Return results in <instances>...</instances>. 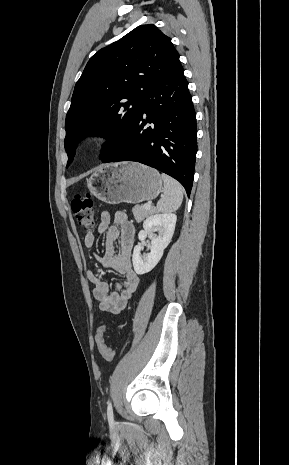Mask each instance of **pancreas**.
Returning a JSON list of instances; mask_svg holds the SVG:
<instances>
[{
	"label": "pancreas",
	"mask_w": 289,
	"mask_h": 465,
	"mask_svg": "<svg viewBox=\"0 0 289 465\" xmlns=\"http://www.w3.org/2000/svg\"><path fill=\"white\" fill-rule=\"evenodd\" d=\"M133 215L135 217V220L137 222H141L144 220L147 216L152 214L153 210L150 209H145L144 206L136 205L135 207L132 208Z\"/></svg>",
	"instance_id": "pancreas-1"
}]
</instances>
